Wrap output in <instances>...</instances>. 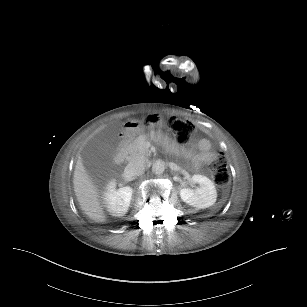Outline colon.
<instances>
[{
    "instance_id": "obj_1",
    "label": "colon",
    "mask_w": 307,
    "mask_h": 307,
    "mask_svg": "<svg viewBox=\"0 0 307 307\" xmlns=\"http://www.w3.org/2000/svg\"><path fill=\"white\" fill-rule=\"evenodd\" d=\"M169 127L176 141L180 144L187 143L191 139L195 130L191 123L178 117H171L169 119ZM211 171L213 179L217 185L224 186L228 183L229 172L227 159L224 155H218L213 159L211 163Z\"/></svg>"
}]
</instances>
